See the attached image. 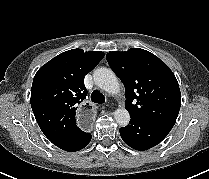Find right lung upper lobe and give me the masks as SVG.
I'll return each instance as SVG.
<instances>
[{"label":"right lung upper lobe","mask_w":209,"mask_h":179,"mask_svg":"<svg viewBox=\"0 0 209 179\" xmlns=\"http://www.w3.org/2000/svg\"><path fill=\"white\" fill-rule=\"evenodd\" d=\"M101 51L72 49L59 54L36 73L31 89V107L36 121L52 142L78 129L77 106L86 98L84 76L103 59Z\"/></svg>","instance_id":"right-lung-upper-lobe-1"}]
</instances>
